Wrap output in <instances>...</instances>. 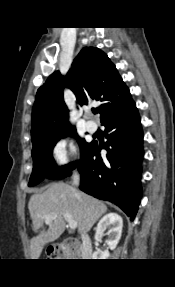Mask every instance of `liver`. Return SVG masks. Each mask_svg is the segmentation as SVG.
Here are the masks:
<instances>
[{
  "mask_svg": "<svg viewBox=\"0 0 175 287\" xmlns=\"http://www.w3.org/2000/svg\"><path fill=\"white\" fill-rule=\"evenodd\" d=\"M28 209L35 231L43 228L45 216L53 214L47 230H42L30 241L32 259H38L44 246L56 240L65 230L63 214L68 213L77 222L78 232L87 233L107 212V206L64 182L53 183L42 193L31 196Z\"/></svg>",
  "mask_w": 175,
  "mask_h": 287,
  "instance_id": "1",
  "label": "liver"
}]
</instances>
